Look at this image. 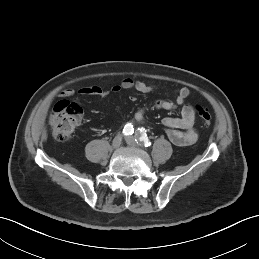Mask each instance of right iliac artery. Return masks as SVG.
Wrapping results in <instances>:
<instances>
[{
	"label": "right iliac artery",
	"mask_w": 259,
	"mask_h": 259,
	"mask_svg": "<svg viewBox=\"0 0 259 259\" xmlns=\"http://www.w3.org/2000/svg\"><path fill=\"white\" fill-rule=\"evenodd\" d=\"M123 133L124 135H132L134 133L133 125L131 123L126 124L124 126Z\"/></svg>",
	"instance_id": "82829eb1"
}]
</instances>
